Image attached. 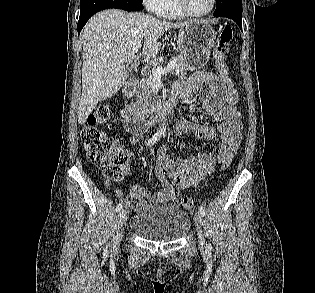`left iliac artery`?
Returning <instances> with one entry per match:
<instances>
[{
  "label": "left iliac artery",
  "mask_w": 315,
  "mask_h": 293,
  "mask_svg": "<svg viewBox=\"0 0 315 293\" xmlns=\"http://www.w3.org/2000/svg\"><path fill=\"white\" fill-rule=\"evenodd\" d=\"M199 213H200L202 216L205 215V209H204V207H202V206L199 207ZM207 247L209 248L210 245L208 244Z\"/></svg>",
  "instance_id": "1"
}]
</instances>
